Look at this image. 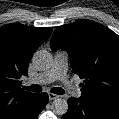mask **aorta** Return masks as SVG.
Wrapping results in <instances>:
<instances>
[{"mask_svg": "<svg viewBox=\"0 0 119 119\" xmlns=\"http://www.w3.org/2000/svg\"><path fill=\"white\" fill-rule=\"evenodd\" d=\"M32 62L37 70L45 71L51 68L53 56L46 50H39L34 53ZM51 107L56 115H64L68 110V103L65 99L56 98Z\"/></svg>", "mask_w": 119, "mask_h": 119, "instance_id": "aorta-1", "label": "aorta"}]
</instances>
